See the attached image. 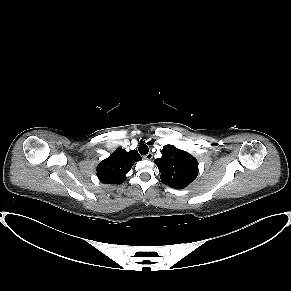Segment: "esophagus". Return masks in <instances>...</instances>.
Segmentation results:
<instances>
[{"instance_id":"esophagus-1","label":"esophagus","mask_w":291,"mask_h":291,"mask_svg":"<svg viewBox=\"0 0 291 291\" xmlns=\"http://www.w3.org/2000/svg\"><path fill=\"white\" fill-rule=\"evenodd\" d=\"M144 158H145L146 160H152V158H153V154H152L151 152H149L148 154H146V155L144 156Z\"/></svg>"}]
</instances>
